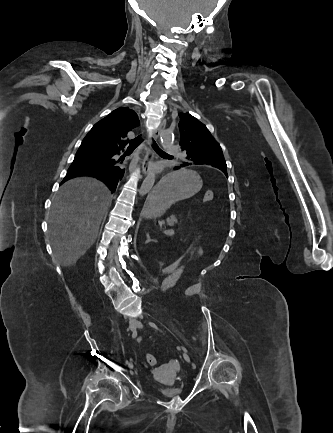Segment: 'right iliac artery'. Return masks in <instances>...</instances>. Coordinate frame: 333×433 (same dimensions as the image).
I'll list each match as a JSON object with an SVG mask.
<instances>
[{"instance_id":"obj_1","label":"right iliac artery","mask_w":333,"mask_h":433,"mask_svg":"<svg viewBox=\"0 0 333 433\" xmlns=\"http://www.w3.org/2000/svg\"><path fill=\"white\" fill-rule=\"evenodd\" d=\"M136 336H137V330L135 329V330L133 331V333H132V338L135 339ZM126 364L129 365V364H131V362H129L128 360H126Z\"/></svg>"}]
</instances>
